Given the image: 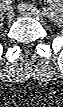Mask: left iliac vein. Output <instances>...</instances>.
Returning <instances> with one entry per match:
<instances>
[{
	"label": "left iliac vein",
	"instance_id": "1",
	"mask_svg": "<svg viewBox=\"0 0 63 107\" xmlns=\"http://www.w3.org/2000/svg\"><path fill=\"white\" fill-rule=\"evenodd\" d=\"M18 10L24 16L34 17L38 21L44 22L41 13L37 9L30 7L29 5L22 4L19 6Z\"/></svg>",
	"mask_w": 63,
	"mask_h": 107
}]
</instances>
